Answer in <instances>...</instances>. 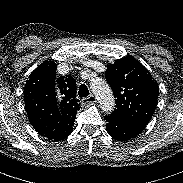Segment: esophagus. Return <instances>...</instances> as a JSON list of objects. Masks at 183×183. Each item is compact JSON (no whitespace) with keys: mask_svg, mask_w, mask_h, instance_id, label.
I'll list each match as a JSON object with an SVG mask.
<instances>
[{"mask_svg":"<svg viewBox=\"0 0 183 183\" xmlns=\"http://www.w3.org/2000/svg\"><path fill=\"white\" fill-rule=\"evenodd\" d=\"M95 102H96V98L93 95H90V96L85 97V98L82 99V104L83 105H92Z\"/></svg>","mask_w":183,"mask_h":183,"instance_id":"esophagus-1","label":"esophagus"}]
</instances>
